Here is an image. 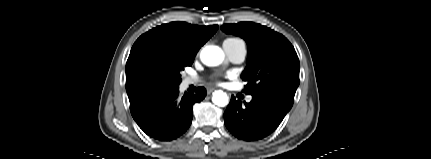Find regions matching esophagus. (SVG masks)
Listing matches in <instances>:
<instances>
[{"label":"esophagus","mask_w":431,"mask_h":159,"mask_svg":"<svg viewBox=\"0 0 431 159\" xmlns=\"http://www.w3.org/2000/svg\"><path fill=\"white\" fill-rule=\"evenodd\" d=\"M213 91H215V89L214 88H210V89L207 90V93L211 94Z\"/></svg>","instance_id":"esophagus-1"}]
</instances>
